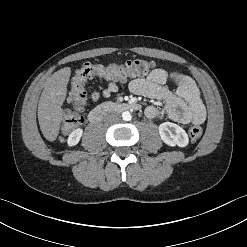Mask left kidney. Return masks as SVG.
Instances as JSON below:
<instances>
[{
	"label": "left kidney",
	"mask_w": 247,
	"mask_h": 247,
	"mask_svg": "<svg viewBox=\"0 0 247 247\" xmlns=\"http://www.w3.org/2000/svg\"><path fill=\"white\" fill-rule=\"evenodd\" d=\"M158 129L162 141L169 146L186 147L189 143L187 133L177 124L164 122Z\"/></svg>",
	"instance_id": "1"
}]
</instances>
